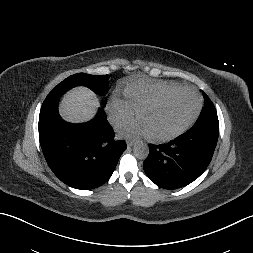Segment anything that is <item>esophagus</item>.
Segmentation results:
<instances>
[{"mask_svg": "<svg viewBox=\"0 0 253 253\" xmlns=\"http://www.w3.org/2000/svg\"><path fill=\"white\" fill-rule=\"evenodd\" d=\"M134 144H135V141H134V140H128V141H127V146H128V147H132Z\"/></svg>", "mask_w": 253, "mask_h": 253, "instance_id": "obj_1", "label": "esophagus"}]
</instances>
